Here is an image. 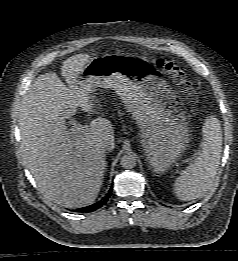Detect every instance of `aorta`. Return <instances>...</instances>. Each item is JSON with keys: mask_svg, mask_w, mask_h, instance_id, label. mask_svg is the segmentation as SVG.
Instances as JSON below:
<instances>
[{"mask_svg": "<svg viewBox=\"0 0 238 261\" xmlns=\"http://www.w3.org/2000/svg\"><path fill=\"white\" fill-rule=\"evenodd\" d=\"M120 164L125 169H132L136 166V157L132 154H125L122 156Z\"/></svg>", "mask_w": 238, "mask_h": 261, "instance_id": "1", "label": "aorta"}]
</instances>
